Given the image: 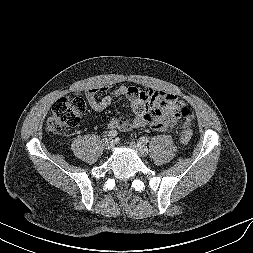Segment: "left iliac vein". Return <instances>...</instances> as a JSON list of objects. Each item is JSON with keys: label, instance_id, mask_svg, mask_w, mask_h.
Wrapping results in <instances>:
<instances>
[{"label": "left iliac vein", "instance_id": "1", "mask_svg": "<svg viewBox=\"0 0 253 253\" xmlns=\"http://www.w3.org/2000/svg\"><path fill=\"white\" fill-rule=\"evenodd\" d=\"M130 148L137 152L141 157H146L148 154V150L144 147L140 142H130Z\"/></svg>", "mask_w": 253, "mask_h": 253}]
</instances>
